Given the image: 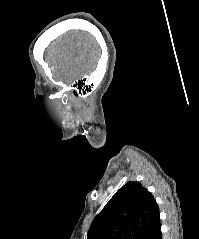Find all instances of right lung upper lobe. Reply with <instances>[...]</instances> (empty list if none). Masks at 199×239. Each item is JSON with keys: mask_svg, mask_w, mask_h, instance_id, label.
Returning a JSON list of instances; mask_svg holds the SVG:
<instances>
[{"mask_svg": "<svg viewBox=\"0 0 199 239\" xmlns=\"http://www.w3.org/2000/svg\"><path fill=\"white\" fill-rule=\"evenodd\" d=\"M158 219L159 209L152 194L130 181L94 218L87 239H140Z\"/></svg>", "mask_w": 199, "mask_h": 239, "instance_id": "cb5924a9", "label": "right lung upper lobe"}]
</instances>
